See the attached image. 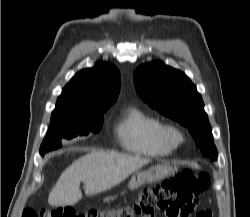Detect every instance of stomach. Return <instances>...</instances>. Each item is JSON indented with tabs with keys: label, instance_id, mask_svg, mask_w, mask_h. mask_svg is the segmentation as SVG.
I'll return each instance as SVG.
<instances>
[{
	"label": "stomach",
	"instance_id": "1",
	"mask_svg": "<svg viewBox=\"0 0 250 217\" xmlns=\"http://www.w3.org/2000/svg\"><path fill=\"white\" fill-rule=\"evenodd\" d=\"M172 172L173 169L168 164H159L144 171H137L129 182V188L134 190L142 185L158 181Z\"/></svg>",
	"mask_w": 250,
	"mask_h": 217
}]
</instances>
